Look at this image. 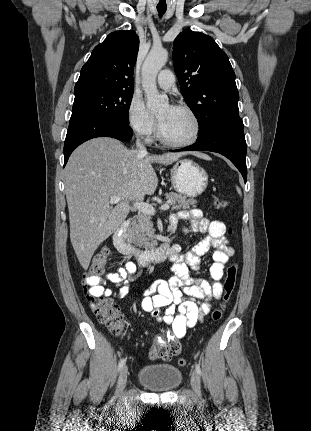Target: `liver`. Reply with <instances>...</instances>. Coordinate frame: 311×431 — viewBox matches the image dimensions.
Here are the masks:
<instances>
[{"label": "liver", "mask_w": 311, "mask_h": 431, "mask_svg": "<svg viewBox=\"0 0 311 431\" xmlns=\"http://www.w3.org/2000/svg\"><path fill=\"white\" fill-rule=\"evenodd\" d=\"M197 152L148 156L127 150L114 138H94L79 146L64 172L69 210L70 239L83 269L100 243L125 221L131 202H143L157 190L158 178L152 164L170 166L182 156ZM121 202L113 208L110 198Z\"/></svg>", "instance_id": "6515ba94"}]
</instances>
